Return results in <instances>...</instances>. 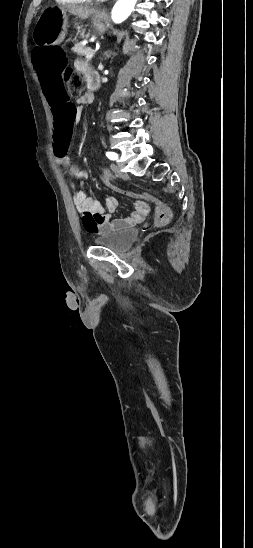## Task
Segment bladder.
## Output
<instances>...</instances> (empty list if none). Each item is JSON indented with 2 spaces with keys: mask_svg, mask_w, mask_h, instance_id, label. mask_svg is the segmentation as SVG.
Returning a JSON list of instances; mask_svg holds the SVG:
<instances>
[{
  "mask_svg": "<svg viewBox=\"0 0 253 548\" xmlns=\"http://www.w3.org/2000/svg\"><path fill=\"white\" fill-rule=\"evenodd\" d=\"M138 236L139 230L137 228L111 231L96 236L93 243L96 246L107 247L117 252H123L136 241Z\"/></svg>",
  "mask_w": 253,
  "mask_h": 548,
  "instance_id": "bladder-1",
  "label": "bladder"
}]
</instances>
